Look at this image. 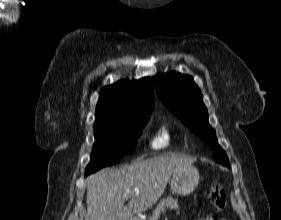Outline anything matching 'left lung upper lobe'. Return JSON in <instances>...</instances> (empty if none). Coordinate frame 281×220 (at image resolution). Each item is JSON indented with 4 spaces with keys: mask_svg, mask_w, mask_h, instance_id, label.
I'll return each mask as SVG.
<instances>
[{
    "mask_svg": "<svg viewBox=\"0 0 281 220\" xmlns=\"http://www.w3.org/2000/svg\"><path fill=\"white\" fill-rule=\"evenodd\" d=\"M152 81L162 103L212 148L216 162L231 168L225 152L218 144L215 131L208 123L202 93L193 78L169 72L153 77Z\"/></svg>",
    "mask_w": 281,
    "mask_h": 220,
    "instance_id": "left-lung-upper-lobe-1",
    "label": "left lung upper lobe"
}]
</instances>
